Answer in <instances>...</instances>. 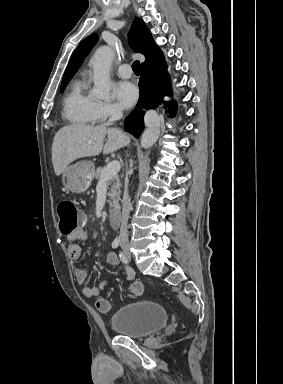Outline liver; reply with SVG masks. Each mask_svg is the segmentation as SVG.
Wrapping results in <instances>:
<instances>
[{
	"label": "liver",
	"mask_w": 283,
	"mask_h": 384,
	"mask_svg": "<svg viewBox=\"0 0 283 384\" xmlns=\"http://www.w3.org/2000/svg\"><path fill=\"white\" fill-rule=\"evenodd\" d=\"M108 140L104 146V138ZM129 138L116 128L71 124L61 128L53 140L52 164L56 176H60L71 162L78 158H90L103 154H113L127 146Z\"/></svg>",
	"instance_id": "liver-1"
}]
</instances>
